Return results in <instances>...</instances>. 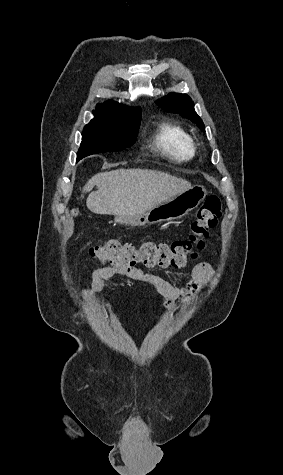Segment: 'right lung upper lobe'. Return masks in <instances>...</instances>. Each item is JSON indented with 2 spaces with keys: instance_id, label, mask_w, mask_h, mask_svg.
<instances>
[{
  "instance_id": "obj_1",
  "label": "right lung upper lobe",
  "mask_w": 283,
  "mask_h": 475,
  "mask_svg": "<svg viewBox=\"0 0 283 475\" xmlns=\"http://www.w3.org/2000/svg\"><path fill=\"white\" fill-rule=\"evenodd\" d=\"M97 107H101V108H114V107H125L121 104H118L117 102L115 101H112V100H109V101H106L104 102L103 104H98Z\"/></svg>"
}]
</instances>
